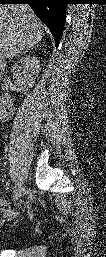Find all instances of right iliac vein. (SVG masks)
Returning <instances> with one entry per match:
<instances>
[{
  "mask_svg": "<svg viewBox=\"0 0 106 257\" xmlns=\"http://www.w3.org/2000/svg\"><path fill=\"white\" fill-rule=\"evenodd\" d=\"M23 192H24V187H23L22 183L20 182L19 183L18 193H17L16 197L14 198L15 202H17L20 199V197L22 196Z\"/></svg>",
  "mask_w": 106,
  "mask_h": 257,
  "instance_id": "obj_1",
  "label": "right iliac vein"
}]
</instances>
